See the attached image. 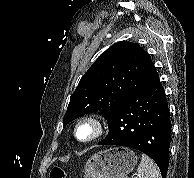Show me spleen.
I'll return each instance as SVG.
<instances>
[{"mask_svg":"<svg viewBox=\"0 0 194 178\" xmlns=\"http://www.w3.org/2000/svg\"><path fill=\"white\" fill-rule=\"evenodd\" d=\"M137 172L138 175L136 178H162L157 165L151 158L144 154H142Z\"/></svg>","mask_w":194,"mask_h":178,"instance_id":"1","label":"spleen"}]
</instances>
